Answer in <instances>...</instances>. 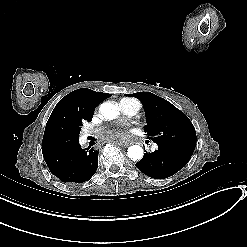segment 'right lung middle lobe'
<instances>
[{
  "instance_id": "obj_1",
  "label": "right lung middle lobe",
  "mask_w": 247,
  "mask_h": 247,
  "mask_svg": "<svg viewBox=\"0 0 247 247\" xmlns=\"http://www.w3.org/2000/svg\"><path fill=\"white\" fill-rule=\"evenodd\" d=\"M80 129L54 138L43 152H54L68 148L79 142Z\"/></svg>"
}]
</instances>
